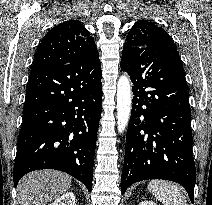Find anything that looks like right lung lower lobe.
Wrapping results in <instances>:
<instances>
[{
  "mask_svg": "<svg viewBox=\"0 0 212 205\" xmlns=\"http://www.w3.org/2000/svg\"><path fill=\"white\" fill-rule=\"evenodd\" d=\"M101 64H66L31 72L18 136L14 185L26 173L55 169L91 192L102 111Z\"/></svg>",
  "mask_w": 212,
  "mask_h": 205,
  "instance_id": "obj_1",
  "label": "right lung lower lobe"
}]
</instances>
